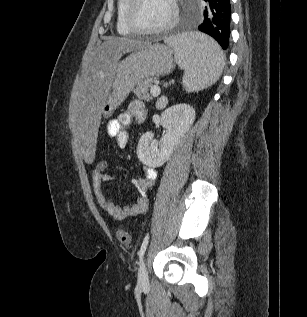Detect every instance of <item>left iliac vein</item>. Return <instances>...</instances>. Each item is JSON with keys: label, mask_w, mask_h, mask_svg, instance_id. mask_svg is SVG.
Here are the masks:
<instances>
[{"label": "left iliac vein", "mask_w": 307, "mask_h": 317, "mask_svg": "<svg viewBox=\"0 0 307 317\" xmlns=\"http://www.w3.org/2000/svg\"><path fill=\"white\" fill-rule=\"evenodd\" d=\"M138 286L140 288H147L149 286V278L144 261L140 263L138 271Z\"/></svg>", "instance_id": "obj_1"}]
</instances>
